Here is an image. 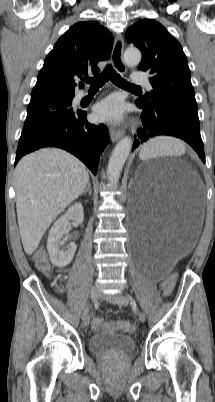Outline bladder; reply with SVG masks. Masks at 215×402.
I'll return each mask as SVG.
<instances>
[{"mask_svg": "<svg viewBox=\"0 0 215 402\" xmlns=\"http://www.w3.org/2000/svg\"><path fill=\"white\" fill-rule=\"evenodd\" d=\"M134 340L125 334L104 331L94 334L89 340V349L100 356L124 357L133 352Z\"/></svg>", "mask_w": 215, "mask_h": 402, "instance_id": "31cf9c89", "label": "bladder"}]
</instances>
